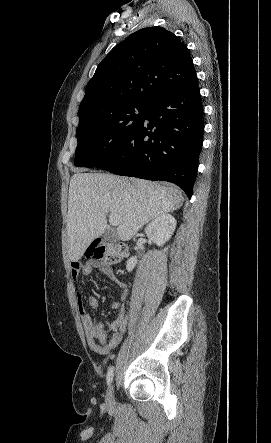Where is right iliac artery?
<instances>
[{"label":"right iliac artery","mask_w":271,"mask_h":443,"mask_svg":"<svg viewBox=\"0 0 271 443\" xmlns=\"http://www.w3.org/2000/svg\"><path fill=\"white\" fill-rule=\"evenodd\" d=\"M106 380H107L108 385H110L113 380V367L112 366L108 370Z\"/></svg>","instance_id":"obj_1"}]
</instances>
